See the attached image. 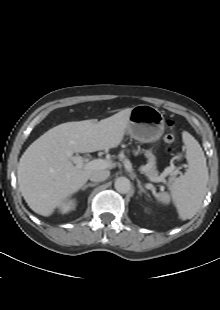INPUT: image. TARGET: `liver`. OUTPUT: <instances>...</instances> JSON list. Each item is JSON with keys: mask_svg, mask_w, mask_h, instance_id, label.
<instances>
[{"mask_svg": "<svg viewBox=\"0 0 220 310\" xmlns=\"http://www.w3.org/2000/svg\"><path fill=\"white\" fill-rule=\"evenodd\" d=\"M131 109L121 110L99 122L91 119L60 124L26 149L18 164L17 178L23 198L35 213L50 216L94 171L104 170L74 166L69 154L118 147L125 135Z\"/></svg>", "mask_w": 220, "mask_h": 310, "instance_id": "6515ba94", "label": "liver"}]
</instances>
